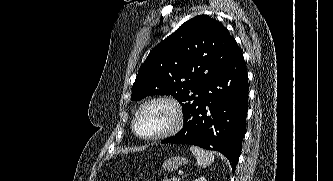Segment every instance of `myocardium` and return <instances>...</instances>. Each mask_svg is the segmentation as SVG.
I'll list each match as a JSON object with an SVG mask.
<instances>
[{"label":"myocardium","mask_w":333,"mask_h":181,"mask_svg":"<svg viewBox=\"0 0 333 181\" xmlns=\"http://www.w3.org/2000/svg\"><path fill=\"white\" fill-rule=\"evenodd\" d=\"M155 103H163L168 105L172 112H173V122L172 124L163 132L158 133L156 135H152V136H143L141 135L137 128H136V122L138 119V116L140 115V113L148 106L155 104ZM183 108L181 106V104L179 103L178 100H176L173 97L170 96H155L152 98L147 99L146 101H144L136 110L133 119H132V130L134 132V134L139 137L140 139L143 140H147V141H155V140H161L164 138H167L169 136H172L173 134H175L176 132H178L180 130V128L182 127L183 124Z\"/></svg>","instance_id":"1"}]
</instances>
